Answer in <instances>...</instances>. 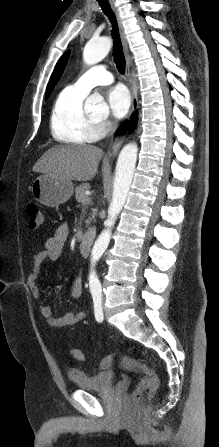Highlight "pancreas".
Masks as SVG:
<instances>
[{"mask_svg": "<svg viewBox=\"0 0 219 447\" xmlns=\"http://www.w3.org/2000/svg\"><path fill=\"white\" fill-rule=\"evenodd\" d=\"M89 188L90 185L88 183H83L77 186L75 189V198L77 202L81 203L83 206L90 203V201L88 203L83 201L84 199L88 198V196L85 194V190H88Z\"/></svg>", "mask_w": 219, "mask_h": 447, "instance_id": "1", "label": "pancreas"}]
</instances>
